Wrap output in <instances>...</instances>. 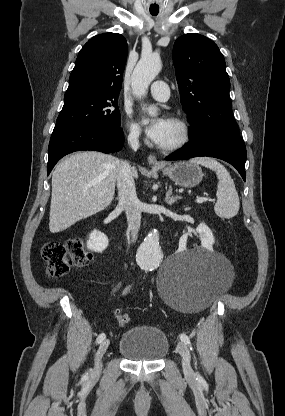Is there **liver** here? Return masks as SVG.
<instances>
[{
	"instance_id": "liver-1",
	"label": "liver",
	"mask_w": 285,
	"mask_h": 416,
	"mask_svg": "<svg viewBox=\"0 0 285 416\" xmlns=\"http://www.w3.org/2000/svg\"><path fill=\"white\" fill-rule=\"evenodd\" d=\"M121 162L100 152H75L56 166L52 176L49 230H67L112 204ZM138 178L137 170H132Z\"/></svg>"
}]
</instances>
